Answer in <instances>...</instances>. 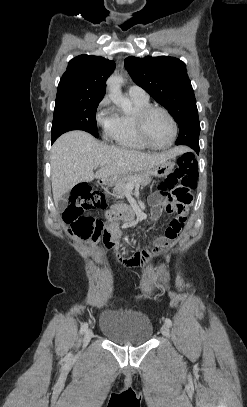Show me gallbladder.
I'll list each match as a JSON object with an SVG mask.
<instances>
[{"label":"gallbladder","mask_w":247,"mask_h":407,"mask_svg":"<svg viewBox=\"0 0 247 407\" xmlns=\"http://www.w3.org/2000/svg\"><path fill=\"white\" fill-rule=\"evenodd\" d=\"M67 197H68V194L66 193V194H64V195L60 198V200L58 201L57 207H58V209H59L60 211H63V210L66 209V207H67V205H68V203H67Z\"/></svg>","instance_id":"gallbladder-1"}]
</instances>
